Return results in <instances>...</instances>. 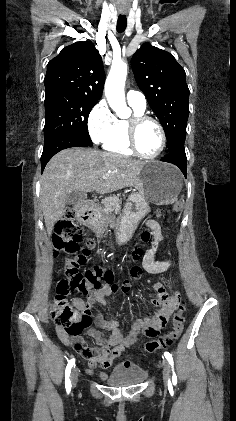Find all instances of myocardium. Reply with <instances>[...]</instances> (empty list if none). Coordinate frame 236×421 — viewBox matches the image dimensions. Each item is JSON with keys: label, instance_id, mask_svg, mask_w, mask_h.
Instances as JSON below:
<instances>
[{"label": "myocardium", "instance_id": "obj_1", "mask_svg": "<svg viewBox=\"0 0 236 421\" xmlns=\"http://www.w3.org/2000/svg\"><path fill=\"white\" fill-rule=\"evenodd\" d=\"M144 121H149L151 123H153L160 134V146L158 151L153 154V155H145L143 153H141L137 147V143H136V128L137 126L144 122ZM125 135H126V139H127V143L131 149V151L138 157L143 158V159H156L157 157H159L162 152L164 151L165 147H166V141H167V137H166V132L165 129L163 128V126L161 125V123L156 120L155 118L145 115L143 113H134L129 119L126 120L125 122Z\"/></svg>", "mask_w": 236, "mask_h": 421}]
</instances>
